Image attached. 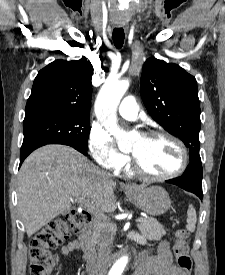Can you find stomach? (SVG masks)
Segmentation results:
<instances>
[{"instance_id": "stomach-1", "label": "stomach", "mask_w": 225, "mask_h": 275, "mask_svg": "<svg viewBox=\"0 0 225 275\" xmlns=\"http://www.w3.org/2000/svg\"><path fill=\"white\" fill-rule=\"evenodd\" d=\"M126 195L133 204L150 216H160L171 206L168 193L160 186L135 187L134 190H126Z\"/></svg>"}]
</instances>
